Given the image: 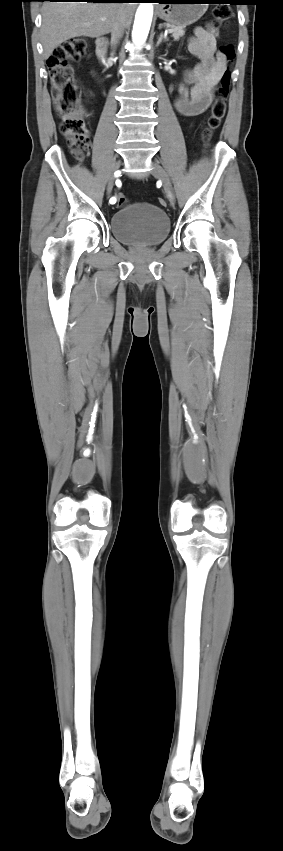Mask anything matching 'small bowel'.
Instances as JSON below:
<instances>
[{"mask_svg":"<svg viewBox=\"0 0 283 851\" xmlns=\"http://www.w3.org/2000/svg\"><path fill=\"white\" fill-rule=\"evenodd\" d=\"M217 38L216 28L208 25L197 27L188 41L189 51L200 61L186 75L190 91H182L175 101L176 110L183 116H197L209 108L214 90L226 71L227 60L217 51ZM92 75L96 76L97 72L93 71Z\"/></svg>","mask_w":283,"mask_h":851,"instance_id":"1","label":"small bowel"}]
</instances>
